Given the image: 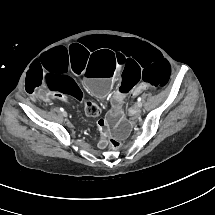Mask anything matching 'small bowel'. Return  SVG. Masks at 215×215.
Returning a JSON list of instances; mask_svg holds the SVG:
<instances>
[{"instance_id":"c3829d8e","label":"small bowel","mask_w":215,"mask_h":215,"mask_svg":"<svg viewBox=\"0 0 215 215\" xmlns=\"http://www.w3.org/2000/svg\"><path fill=\"white\" fill-rule=\"evenodd\" d=\"M56 96H57V95H56ZM57 97H59V98L65 100V96H64V95H62V96H57ZM137 112H138V109H137L136 107H132L131 110H130V113H131V114H136Z\"/></svg>"}]
</instances>
